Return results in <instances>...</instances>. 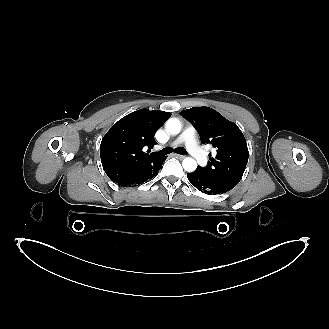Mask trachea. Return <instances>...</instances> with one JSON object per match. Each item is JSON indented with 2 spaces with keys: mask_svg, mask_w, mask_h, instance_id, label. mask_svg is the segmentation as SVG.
Here are the masks:
<instances>
[{
  "mask_svg": "<svg viewBox=\"0 0 329 329\" xmlns=\"http://www.w3.org/2000/svg\"><path fill=\"white\" fill-rule=\"evenodd\" d=\"M174 151H175L176 153H178V154H181V155L186 154V150L183 149V148H176ZM171 152H172L171 149H169V148H164V149H162V150H160V151L158 152V155H159V156H164V155H167V154H169V153H171Z\"/></svg>",
  "mask_w": 329,
  "mask_h": 329,
  "instance_id": "trachea-1",
  "label": "trachea"
}]
</instances>
